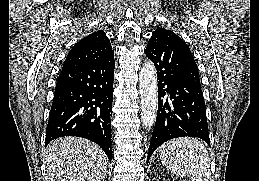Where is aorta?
Returning <instances> with one entry per match:
<instances>
[{"instance_id":"obj_1","label":"aorta","mask_w":259,"mask_h":181,"mask_svg":"<svg viewBox=\"0 0 259 181\" xmlns=\"http://www.w3.org/2000/svg\"><path fill=\"white\" fill-rule=\"evenodd\" d=\"M139 92L141 120L143 126L150 129L155 123L158 106L157 75L152 62L145 63L140 70Z\"/></svg>"}]
</instances>
